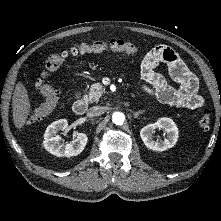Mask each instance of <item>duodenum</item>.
<instances>
[{
  "label": "duodenum",
  "mask_w": 221,
  "mask_h": 221,
  "mask_svg": "<svg viewBox=\"0 0 221 221\" xmlns=\"http://www.w3.org/2000/svg\"><path fill=\"white\" fill-rule=\"evenodd\" d=\"M87 108L88 103L86 99L80 95H77L73 103V111L78 115H82L86 112Z\"/></svg>",
  "instance_id": "1"
}]
</instances>
